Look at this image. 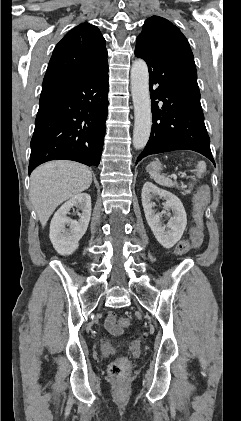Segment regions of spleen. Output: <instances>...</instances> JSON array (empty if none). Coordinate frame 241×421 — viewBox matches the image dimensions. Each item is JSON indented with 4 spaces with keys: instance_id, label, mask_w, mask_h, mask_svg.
<instances>
[{
    "instance_id": "1",
    "label": "spleen",
    "mask_w": 241,
    "mask_h": 421,
    "mask_svg": "<svg viewBox=\"0 0 241 421\" xmlns=\"http://www.w3.org/2000/svg\"><path fill=\"white\" fill-rule=\"evenodd\" d=\"M205 170H206V163L204 161H200L198 163L197 169L194 170V171L197 173L198 178H200L202 173ZM150 175L152 176L154 181L161 186H165V187H175L176 186V187H178V185L175 182H173L170 178H168L164 175H160V174H157L155 172H150ZM192 180L195 181V178L192 177ZM181 187L183 188V185ZM192 188H193V184L190 183L189 189L186 190V193H190Z\"/></svg>"
}]
</instances>
